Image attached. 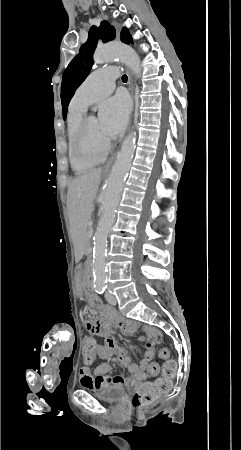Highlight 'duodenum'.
I'll return each instance as SVG.
<instances>
[{"label":"duodenum","mask_w":241,"mask_h":450,"mask_svg":"<svg viewBox=\"0 0 241 450\" xmlns=\"http://www.w3.org/2000/svg\"><path fill=\"white\" fill-rule=\"evenodd\" d=\"M93 263L91 259H88L86 262V288L88 291H92L93 290Z\"/></svg>","instance_id":"410a0bca"}]
</instances>
